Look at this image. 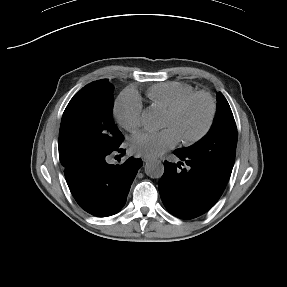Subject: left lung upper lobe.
<instances>
[{
    "mask_svg": "<svg viewBox=\"0 0 287 287\" xmlns=\"http://www.w3.org/2000/svg\"><path fill=\"white\" fill-rule=\"evenodd\" d=\"M237 128L230 106L221 92L217 94V112L209 132L194 145L181 149L197 155L228 180L235 161Z\"/></svg>",
    "mask_w": 287,
    "mask_h": 287,
    "instance_id": "1",
    "label": "left lung upper lobe"
}]
</instances>
